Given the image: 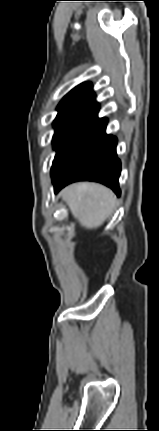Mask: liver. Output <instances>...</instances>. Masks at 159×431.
Returning <instances> with one entry per match:
<instances>
[{"label": "liver", "mask_w": 159, "mask_h": 431, "mask_svg": "<svg viewBox=\"0 0 159 431\" xmlns=\"http://www.w3.org/2000/svg\"><path fill=\"white\" fill-rule=\"evenodd\" d=\"M60 195L72 215L87 229L103 225L116 205L114 193L97 183H75L66 187Z\"/></svg>", "instance_id": "6515ba94"}]
</instances>
